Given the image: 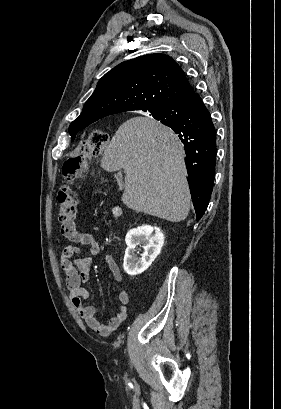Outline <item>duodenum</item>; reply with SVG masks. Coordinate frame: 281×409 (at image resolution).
I'll return each instance as SVG.
<instances>
[{"mask_svg": "<svg viewBox=\"0 0 281 409\" xmlns=\"http://www.w3.org/2000/svg\"><path fill=\"white\" fill-rule=\"evenodd\" d=\"M119 213H120V210H119V209H115V210H114V214H115V215H119Z\"/></svg>", "mask_w": 281, "mask_h": 409, "instance_id": "410a0bca", "label": "duodenum"}]
</instances>
